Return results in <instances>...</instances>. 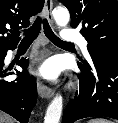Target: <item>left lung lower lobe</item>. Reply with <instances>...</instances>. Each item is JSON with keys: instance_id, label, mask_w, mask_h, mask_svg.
Returning <instances> with one entry per match:
<instances>
[{"instance_id": "0a47b994", "label": "left lung lower lobe", "mask_w": 118, "mask_h": 123, "mask_svg": "<svg viewBox=\"0 0 118 123\" xmlns=\"http://www.w3.org/2000/svg\"><path fill=\"white\" fill-rule=\"evenodd\" d=\"M78 66L82 71L79 95L69 102L62 123L95 116L118 119V60H93L94 71L80 63Z\"/></svg>"}]
</instances>
